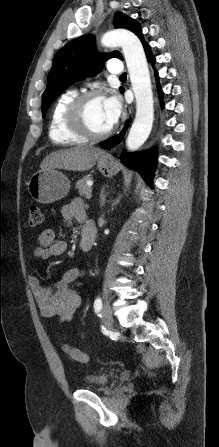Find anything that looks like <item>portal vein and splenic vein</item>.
<instances>
[{
  "label": "portal vein and splenic vein",
  "mask_w": 219,
  "mask_h": 447,
  "mask_svg": "<svg viewBox=\"0 0 219 447\" xmlns=\"http://www.w3.org/2000/svg\"><path fill=\"white\" fill-rule=\"evenodd\" d=\"M92 184H93L92 181H88V182H87V185H88V186H92ZM86 198H87V199H90V198H91V193H88V194L86 195Z\"/></svg>",
  "instance_id": "1"
}]
</instances>
